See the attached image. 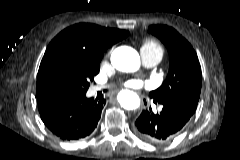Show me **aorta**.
I'll return each mask as SVG.
<instances>
[{
    "mask_svg": "<svg viewBox=\"0 0 240 160\" xmlns=\"http://www.w3.org/2000/svg\"><path fill=\"white\" fill-rule=\"evenodd\" d=\"M111 63L117 70L133 72L140 65V57L133 48L120 46L112 52ZM118 101L121 107L127 110L136 109L140 104L138 95L130 90L121 91L118 95Z\"/></svg>",
    "mask_w": 240,
    "mask_h": 160,
    "instance_id": "aorta-1",
    "label": "aorta"
}]
</instances>
